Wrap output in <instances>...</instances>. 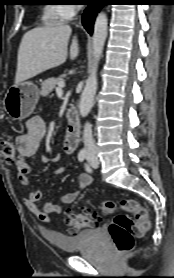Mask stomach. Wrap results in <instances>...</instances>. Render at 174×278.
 I'll return each instance as SVG.
<instances>
[{"instance_id": "1", "label": "stomach", "mask_w": 174, "mask_h": 278, "mask_svg": "<svg viewBox=\"0 0 174 278\" xmlns=\"http://www.w3.org/2000/svg\"><path fill=\"white\" fill-rule=\"evenodd\" d=\"M39 101V89L32 82L12 85L4 97V109L13 120L29 117Z\"/></svg>"}]
</instances>
